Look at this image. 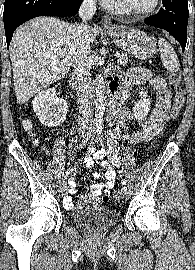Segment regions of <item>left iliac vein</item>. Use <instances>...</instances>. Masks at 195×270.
Returning <instances> with one entry per match:
<instances>
[{"label": "left iliac vein", "mask_w": 195, "mask_h": 270, "mask_svg": "<svg viewBox=\"0 0 195 270\" xmlns=\"http://www.w3.org/2000/svg\"><path fill=\"white\" fill-rule=\"evenodd\" d=\"M90 132H91V130H90ZM89 132V133H90ZM94 140H95V135H94V133L91 135V138H90V140H89V142L92 144L93 142H94ZM121 194H122V197L124 198V199H126L127 197H128V190H127V187L126 186H123L122 187V189H121Z\"/></svg>", "instance_id": "1"}]
</instances>
